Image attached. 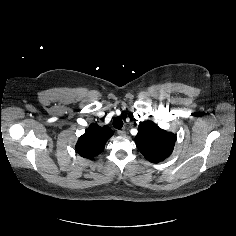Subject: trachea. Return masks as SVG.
<instances>
[{
  "mask_svg": "<svg viewBox=\"0 0 236 236\" xmlns=\"http://www.w3.org/2000/svg\"><path fill=\"white\" fill-rule=\"evenodd\" d=\"M113 126L116 128V129H121L123 127V121L121 118L119 117H115L113 119Z\"/></svg>",
  "mask_w": 236,
  "mask_h": 236,
  "instance_id": "obj_1",
  "label": "trachea"
}]
</instances>
